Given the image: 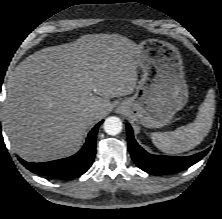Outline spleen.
<instances>
[{
    "instance_id": "obj_1",
    "label": "spleen",
    "mask_w": 222,
    "mask_h": 219,
    "mask_svg": "<svg viewBox=\"0 0 222 219\" xmlns=\"http://www.w3.org/2000/svg\"><path fill=\"white\" fill-rule=\"evenodd\" d=\"M215 95L210 89L199 107L196 119L170 132L151 133L152 142L162 152L178 154L193 149L202 142L212 127L215 114Z\"/></svg>"
}]
</instances>
